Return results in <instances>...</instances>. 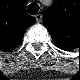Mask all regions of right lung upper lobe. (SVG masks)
Wrapping results in <instances>:
<instances>
[{"label":"right lung upper lobe","instance_id":"obj_1","mask_svg":"<svg viewBox=\"0 0 80 80\" xmlns=\"http://www.w3.org/2000/svg\"><path fill=\"white\" fill-rule=\"evenodd\" d=\"M25 8L19 0L10 1L1 9L0 45L8 51L21 43L26 29L35 23V18L28 15Z\"/></svg>","mask_w":80,"mask_h":80}]
</instances>
